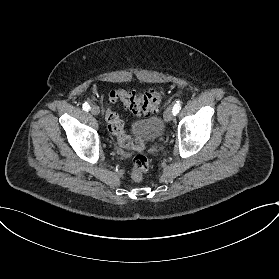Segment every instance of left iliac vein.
Instances as JSON below:
<instances>
[{
	"mask_svg": "<svg viewBox=\"0 0 279 279\" xmlns=\"http://www.w3.org/2000/svg\"><path fill=\"white\" fill-rule=\"evenodd\" d=\"M165 120L171 122L173 120L172 109L169 107L165 111Z\"/></svg>",
	"mask_w": 279,
	"mask_h": 279,
	"instance_id": "left-iliac-vein-1",
	"label": "left iliac vein"
}]
</instances>
